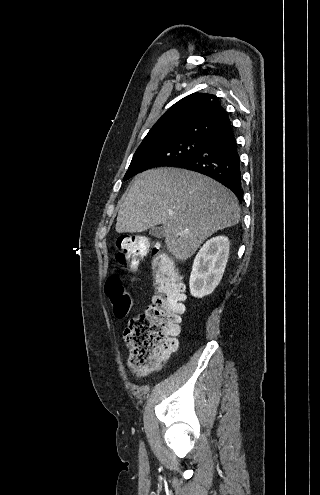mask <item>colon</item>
I'll use <instances>...</instances> for the list:
<instances>
[{"instance_id": "5ec220e1", "label": "colon", "mask_w": 320, "mask_h": 495, "mask_svg": "<svg viewBox=\"0 0 320 495\" xmlns=\"http://www.w3.org/2000/svg\"><path fill=\"white\" fill-rule=\"evenodd\" d=\"M119 265L130 270L152 255L153 285L156 295L146 311L133 317L124 331L129 349L128 364L137 375L159 368L177 349L180 318L185 310L183 284L171 257L159 244L143 235H123L116 241ZM115 315H128L132 299L121 279L110 276L105 283Z\"/></svg>"}]
</instances>
